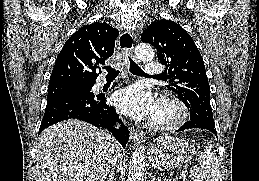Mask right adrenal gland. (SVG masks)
<instances>
[{"mask_svg": "<svg viewBox=\"0 0 259 181\" xmlns=\"http://www.w3.org/2000/svg\"><path fill=\"white\" fill-rule=\"evenodd\" d=\"M106 181H114V173L110 172Z\"/></svg>", "mask_w": 259, "mask_h": 181, "instance_id": "right-adrenal-gland-1", "label": "right adrenal gland"}]
</instances>
